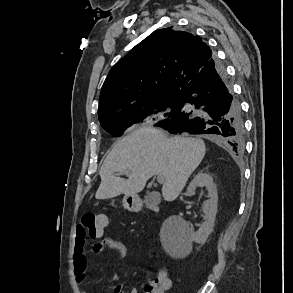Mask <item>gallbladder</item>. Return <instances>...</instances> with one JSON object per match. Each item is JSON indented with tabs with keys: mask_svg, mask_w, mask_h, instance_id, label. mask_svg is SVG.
Masks as SVG:
<instances>
[{
	"mask_svg": "<svg viewBox=\"0 0 293 293\" xmlns=\"http://www.w3.org/2000/svg\"><path fill=\"white\" fill-rule=\"evenodd\" d=\"M145 202L154 205L157 203V195L155 193H149L145 196Z\"/></svg>",
	"mask_w": 293,
	"mask_h": 293,
	"instance_id": "obj_1",
	"label": "gallbladder"
}]
</instances>
